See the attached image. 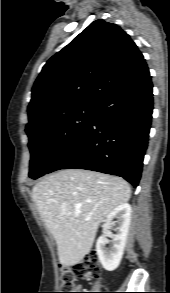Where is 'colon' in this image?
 I'll return each mask as SVG.
<instances>
[{"instance_id": "5ec220e1", "label": "colon", "mask_w": 170, "mask_h": 293, "mask_svg": "<svg viewBox=\"0 0 170 293\" xmlns=\"http://www.w3.org/2000/svg\"><path fill=\"white\" fill-rule=\"evenodd\" d=\"M97 252L87 254L81 262L69 270H63L60 274V282L63 291H73L77 279H89L95 276L98 270ZM62 293H84V292H62Z\"/></svg>"}]
</instances>
